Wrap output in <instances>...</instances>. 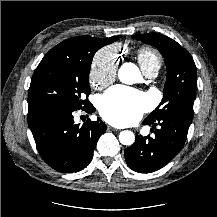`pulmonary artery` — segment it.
Returning a JSON list of instances; mask_svg holds the SVG:
<instances>
[{"label": "pulmonary artery", "instance_id": "obj_1", "mask_svg": "<svg viewBox=\"0 0 217 217\" xmlns=\"http://www.w3.org/2000/svg\"><path fill=\"white\" fill-rule=\"evenodd\" d=\"M158 68H152V69H149L148 71L144 72L145 75L149 78H154L157 73H158Z\"/></svg>", "mask_w": 217, "mask_h": 217}]
</instances>
